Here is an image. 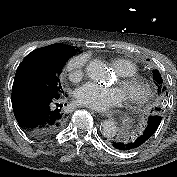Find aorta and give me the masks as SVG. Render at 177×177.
<instances>
[{"label":"aorta","mask_w":177,"mask_h":177,"mask_svg":"<svg viewBox=\"0 0 177 177\" xmlns=\"http://www.w3.org/2000/svg\"><path fill=\"white\" fill-rule=\"evenodd\" d=\"M86 73L88 77H90L94 81H107L110 77V73L108 71V68L106 64L99 60L94 59L91 60L87 67H86ZM117 133V126L112 121H105L102 124V134L105 137L112 138Z\"/></svg>","instance_id":"762f6f07"}]
</instances>
